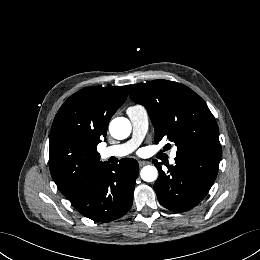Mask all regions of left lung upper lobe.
<instances>
[{
  "instance_id": "obj_1",
  "label": "left lung upper lobe",
  "mask_w": 260,
  "mask_h": 260,
  "mask_svg": "<svg viewBox=\"0 0 260 260\" xmlns=\"http://www.w3.org/2000/svg\"><path fill=\"white\" fill-rule=\"evenodd\" d=\"M131 99L144 105L162 139L177 146V153L204 154L221 158L219 129L204 100L187 86L154 80L129 86ZM170 145V144H167Z\"/></svg>"
}]
</instances>
